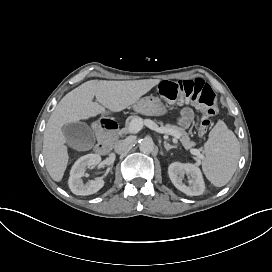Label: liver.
Masks as SVG:
<instances>
[{"instance_id": "6515ba94", "label": "liver", "mask_w": 272, "mask_h": 272, "mask_svg": "<svg viewBox=\"0 0 272 272\" xmlns=\"http://www.w3.org/2000/svg\"><path fill=\"white\" fill-rule=\"evenodd\" d=\"M160 79L133 81L90 80L67 93L52 112L44 131L43 155L51 178L62 180L68 163L62 126L110 111L119 112L134 104L159 84ZM94 96L97 102H93ZM101 104H99V103Z\"/></svg>"}]
</instances>
